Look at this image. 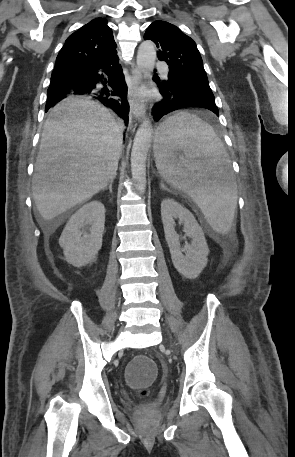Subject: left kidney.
<instances>
[{
  "label": "left kidney",
  "instance_id": "left-kidney-1",
  "mask_svg": "<svg viewBox=\"0 0 295 457\" xmlns=\"http://www.w3.org/2000/svg\"><path fill=\"white\" fill-rule=\"evenodd\" d=\"M161 218L174 267L185 278L198 277L207 265L209 248L197 220L188 209L169 198L161 203ZM174 219H179V222L184 224L186 236L192 239L191 244L184 249L180 247ZM183 251L186 252L185 256Z\"/></svg>",
  "mask_w": 295,
  "mask_h": 457
}]
</instances>
